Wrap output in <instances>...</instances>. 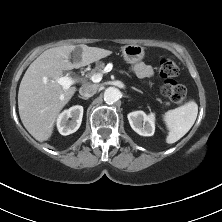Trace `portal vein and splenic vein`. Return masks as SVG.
<instances>
[{"instance_id":"1","label":"portal vein and splenic vein","mask_w":222,"mask_h":222,"mask_svg":"<svg viewBox=\"0 0 222 222\" xmlns=\"http://www.w3.org/2000/svg\"><path fill=\"white\" fill-rule=\"evenodd\" d=\"M103 74H93L90 76V80L94 83H98L101 81ZM56 82L60 84L64 90L69 89L76 81L69 76L59 77Z\"/></svg>"}]
</instances>
